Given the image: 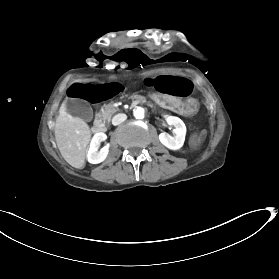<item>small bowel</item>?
Returning <instances> with one entry per match:
<instances>
[{
  "label": "small bowel",
  "mask_w": 279,
  "mask_h": 279,
  "mask_svg": "<svg viewBox=\"0 0 279 279\" xmlns=\"http://www.w3.org/2000/svg\"><path fill=\"white\" fill-rule=\"evenodd\" d=\"M145 84L154 92L175 97H186L192 92L191 81L183 76L163 74L145 79Z\"/></svg>",
  "instance_id": "obj_1"
}]
</instances>
